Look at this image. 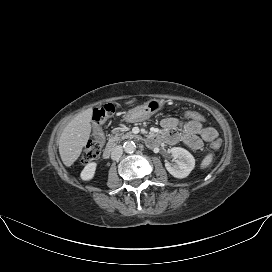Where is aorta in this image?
<instances>
[{
  "instance_id": "obj_1",
  "label": "aorta",
  "mask_w": 272,
  "mask_h": 272,
  "mask_svg": "<svg viewBox=\"0 0 272 272\" xmlns=\"http://www.w3.org/2000/svg\"><path fill=\"white\" fill-rule=\"evenodd\" d=\"M123 148L126 153H133L136 150V145L133 141H126Z\"/></svg>"
}]
</instances>
